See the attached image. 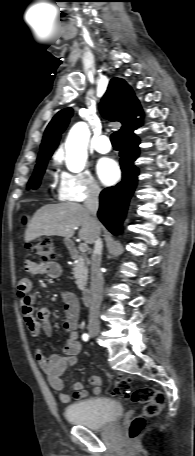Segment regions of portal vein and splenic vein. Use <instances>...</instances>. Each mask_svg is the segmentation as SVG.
<instances>
[{
    "instance_id": "18ae733b",
    "label": "portal vein and splenic vein",
    "mask_w": 195,
    "mask_h": 456,
    "mask_svg": "<svg viewBox=\"0 0 195 456\" xmlns=\"http://www.w3.org/2000/svg\"><path fill=\"white\" fill-rule=\"evenodd\" d=\"M87 249H88L87 244L83 243V244H80V245H79V250H80L81 252H86Z\"/></svg>"
}]
</instances>
